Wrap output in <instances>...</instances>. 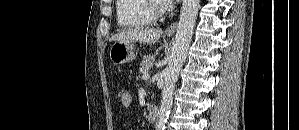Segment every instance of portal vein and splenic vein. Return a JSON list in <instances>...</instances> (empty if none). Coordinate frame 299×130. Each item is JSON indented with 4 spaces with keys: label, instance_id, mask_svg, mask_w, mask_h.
Masks as SVG:
<instances>
[{
    "label": "portal vein and splenic vein",
    "instance_id": "obj_1",
    "mask_svg": "<svg viewBox=\"0 0 299 130\" xmlns=\"http://www.w3.org/2000/svg\"><path fill=\"white\" fill-rule=\"evenodd\" d=\"M150 78L149 74H143L142 79L148 80Z\"/></svg>",
    "mask_w": 299,
    "mask_h": 130
}]
</instances>
